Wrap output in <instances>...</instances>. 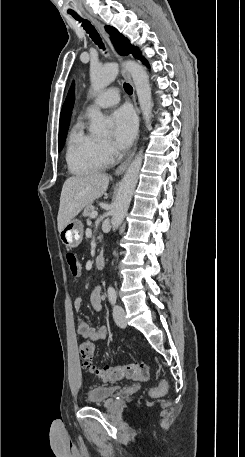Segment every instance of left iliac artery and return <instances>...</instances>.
Listing matches in <instances>:
<instances>
[{
	"label": "left iliac artery",
	"mask_w": 245,
	"mask_h": 457,
	"mask_svg": "<svg viewBox=\"0 0 245 457\" xmlns=\"http://www.w3.org/2000/svg\"><path fill=\"white\" fill-rule=\"evenodd\" d=\"M108 299L110 301L111 304H115L116 303V299H117V295H116V291H115V288L110 286L108 287Z\"/></svg>",
	"instance_id": "obj_1"
}]
</instances>
